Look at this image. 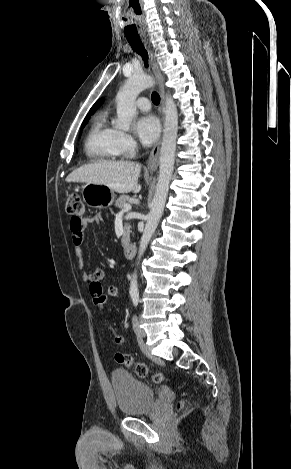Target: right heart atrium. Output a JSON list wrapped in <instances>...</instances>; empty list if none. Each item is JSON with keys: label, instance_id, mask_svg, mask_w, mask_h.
<instances>
[{"label": "right heart atrium", "instance_id": "d8ad5b80", "mask_svg": "<svg viewBox=\"0 0 291 469\" xmlns=\"http://www.w3.org/2000/svg\"><path fill=\"white\" fill-rule=\"evenodd\" d=\"M117 144L121 154L130 155L136 149V142L134 138L127 132L118 131Z\"/></svg>", "mask_w": 291, "mask_h": 469}]
</instances>
